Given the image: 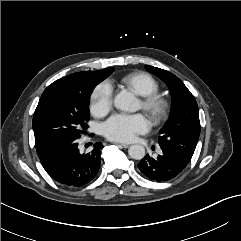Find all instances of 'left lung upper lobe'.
Wrapping results in <instances>:
<instances>
[{"instance_id":"obj_1","label":"left lung upper lobe","mask_w":241,"mask_h":241,"mask_svg":"<svg viewBox=\"0 0 241 241\" xmlns=\"http://www.w3.org/2000/svg\"><path fill=\"white\" fill-rule=\"evenodd\" d=\"M147 69L167 84L173 98L171 117L159 132V146L168 149L188 164L200 135L196 100L184 83L174 74L149 65Z\"/></svg>"}]
</instances>
